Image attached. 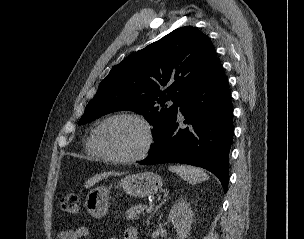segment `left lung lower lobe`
Listing matches in <instances>:
<instances>
[{
	"label": "left lung lower lobe",
	"instance_id": "1",
	"mask_svg": "<svg viewBox=\"0 0 304 239\" xmlns=\"http://www.w3.org/2000/svg\"><path fill=\"white\" fill-rule=\"evenodd\" d=\"M186 128L177 122V113L154 148L140 164L184 163L215 174L227 192L229 151L234 126L233 107L227 80L216 58L199 83L180 104Z\"/></svg>",
	"mask_w": 304,
	"mask_h": 239
}]
</instances>
